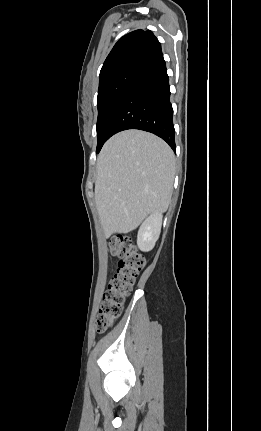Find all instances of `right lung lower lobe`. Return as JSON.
I'll return each instance as SVG.
<instances>
[{
	"label": "right lung lower lobe",
	"mask_w": 261,
	"mask_h": 431,
	"mask_svg": "<svg viewBox=\"0 0 261 431\" xmlns=\"http://www.w3.org/2000/svg\"><path fill=\"white\" fill-rule=\"evenodd\" d=\"M170 87L163 56L146 65L138 74L110 125L109 138L123 130L151 132L175 151Z\"/></svg>",
	"instance_id": "1"
}]
</instances>
